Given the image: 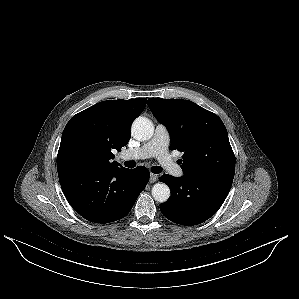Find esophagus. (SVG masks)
I'll return each mask as SVG.
<instances>
[{
    "label": "esophagus",
    "instance_id": "obj_1",
    "mask_svg": "<svg viewBox=\"0 0 299 299\" xmlns=\"http://www.w3.org/2000/svg\"><path fill=\"white\" fill-rule=\"evenodd\" d=\"M157 179H158V176H157V175H155V174H153V173L150 174V178H149V182H150V183H154V182H156Z\"/></svg>",
    "mask_w": 299,
    "mask_h": 299
}]
</instances>
